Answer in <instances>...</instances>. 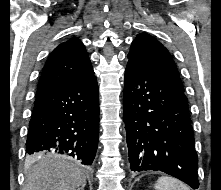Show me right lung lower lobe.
<instances>
[{
	"mask_svg": "<svg viewBox=\"0 0 221 190\" xmlns=\"http://www.w3.org/2000/svg\"><path fill=\"white\" fill-rule=\"evenodd\" d=\"M99 137V91L94 73L35 98L26 152L65 154L91 165Z\"/></svg>",
	"mask_w": 221,
	"mask_h": 190,
	"instance_id": "98d812e1",
	"label": "right lung lower lobe"
}]
</instances>
